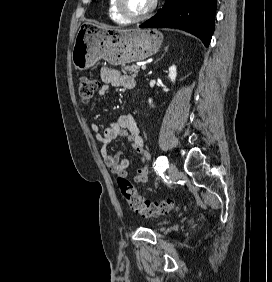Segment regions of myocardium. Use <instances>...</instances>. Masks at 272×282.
Here are the masks:
<instances>
[{"mask_svg": "<svg viewBox=\"0 0 272 282\" xmlns=\"http://www.w3.org/2000/svg\"><path fill=\"white\" fill-rule=\"evenodd\" d=\"M115 8L117 12L129 22H138L149 18L157 9L158 0H153L151 7L143 14L135 15L125 5V0H115Z\"/></svg>", "mask_w": 272, "mask_h": 282, "instance_id": "myocardium-1", "label": "myocardium"}]
</instances>
